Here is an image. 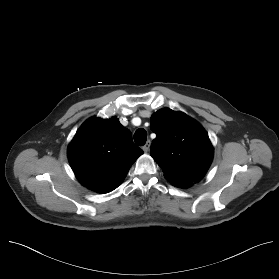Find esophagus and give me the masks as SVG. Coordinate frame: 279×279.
<instances>
[{
    "mask_svg": "<svg viewBox=\"0 0 279 279\" xmlns=\"http://www.w3.org/2000/svg\"><path fill=\"white\" fill-rule=\"evenodd\" d=\"M150 143H151L150 140H148L146 142V144L142 147L144 152H148L149 151Z\"/></svg>",
    "mask_w": 279,
    "mask_h": 279,
    "instance_id": "esophagus-1",
    "label": "esophagus"
}]
</instances>
